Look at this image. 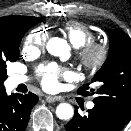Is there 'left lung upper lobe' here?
I'll list each match as a JSON object with an SVG mask.
<instances>
[{"label":"left lung upper lobe","instance_id":"1","mask_svg":"<svg viewBox=\"0 0 131 131\" xmlns=\"http://www.w3.org/2000/svg\"><path fill=\"white\" fill-rule=\"evenodd\" d=\"M110 49L106 62L91 80L99 86L90 89L97 94L96 105L127 124L131 118V39L121 29L108 30ZM89 84L78 89L81 95L91 94Z\"/></svg>","mask_w":131,"mask_h":131}]
</instances>
